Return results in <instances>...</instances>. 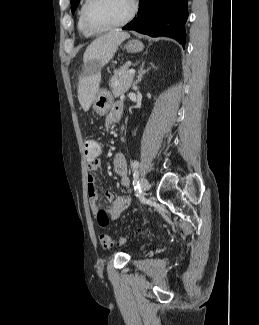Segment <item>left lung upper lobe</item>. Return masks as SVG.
Segmentation results:
<instances>
[{
  "instance_id": "1",
  "label": "left lung upper lobe",
  "mask_w": 259,
  "mask_h": 325,
  "mask_svg": "<svg viewBox=\"0 0 259 325\" xmlns=\"http://www.w3.org/2000/svg\"><path fill=\"white\" fill-rule=\"evenodd\" d=\"M80 0H71V11L74 12Z\"/></svg>"
}]
</instances>
